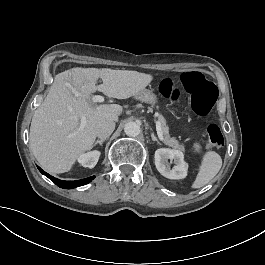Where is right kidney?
I'll use <instances>...</instances> for the list:
<instances>
[{"label":"right kidney","mask_w":265,"mask_h":265,"mask_svg":"<svg viewBox=\"0 0 265 265\" xmlns=\"http://www.w3.org/2000/svg\"><path fill=\"white\" fill-rule=\"evenodd\" d=\"M99 152H90L86 154L80 155L78 158V161L82 164L83 167L88 168V167H94L99 159Z\"/></svg>","instance_id":"1"}]
</instances>
